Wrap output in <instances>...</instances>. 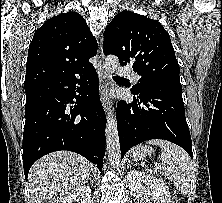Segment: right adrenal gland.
I'll return each mask as SVG.
<instances>
[{"label": "right adrenal gland", "instance_id": "2a0ac1e0", "mask_svg": "<svg viewBox=\"0 0 222 203\" xmlns=\"http://www.w3.org/2000/svg\"><path fill=\"white\" fill-rule=\"evenodd\" d=\"M90 182H92V175H90V178H89Z\"/></svg>", "mask_w": 222, "mask_h": 203}]
</instances>
